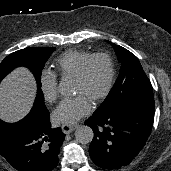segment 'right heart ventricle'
<instances>
[{
	"instance_id": "1",
	"label": "right heart ventricle",
	"mask_w": 171,
	"mask_h": 171,
	"mask_svg": "<svg viewBox=\"0 0 171 171\" xmlns=\"http://www.w3.org/2000/svg\"><path fill=\"white\" fill-rule=\"evenodd\" d=\"M91 55L90 52L82 50H68L60 55L55 67L61 77H73L82 63Z\"/></svg>"
}]
</instances>
